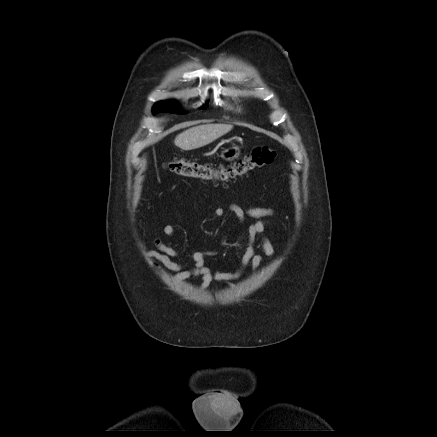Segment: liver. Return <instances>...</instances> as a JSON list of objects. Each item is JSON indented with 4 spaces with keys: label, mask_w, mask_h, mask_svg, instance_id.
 <instances>
[{
    "label": "liver",
    "mask_w": 437,
    "mask_h": 437,
    "mask_svg": "<svg viewBox=\"0 0 437 437\" xmlns=\"http://www.w3.org/2000/svg\"><path fill=\"white\" fill-rule=\"evenodd\" d=\"M230 124H203L185 130L176 136L174 143L182 150H193L212 143L231 131Z\"/></svg>",
    "instance_id": "1"
}]
</instances>
